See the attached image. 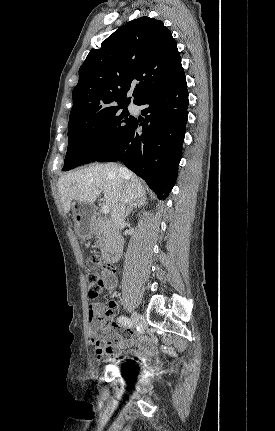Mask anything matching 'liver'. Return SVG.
Returning <instances> with one entry per match:
<instances>
[{"label": "liver", "instance_id": "liver-1", "mask_svg": "<svg viewBox=\"0 0 275 431\" xmlns=\"http://www.w3.org/2000/svg\"><path fill=\"white\" fill-rule=\"evenodd\" d=\"M119 169H123L121 174ZM103 191L110 211L120 201L131 203L145 199V188L140 178L127 168L114 163L96 164L62 175L58 180V192L62 207L68 213L73 200L93 204Z\"/></svg>", "mask_w": 275, "mask_h": 431}]
</instances>
